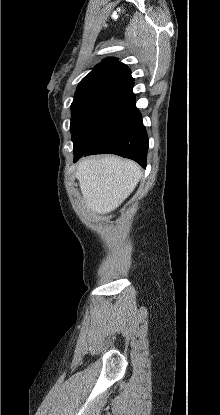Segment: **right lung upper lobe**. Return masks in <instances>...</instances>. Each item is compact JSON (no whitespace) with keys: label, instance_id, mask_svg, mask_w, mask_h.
<instances>
[{"label":"right lung upper lobe","instance_id":"1","mask_svg":"<svg viewBox=\"0 0 220 415\" xmlns=\"http://www.w3.org/2000/svg\"><path fill=\"white\" fill-rule=\"evenodd\" d=\"M102 79H114L132 86L134 85L130 69L115 58L103 60L81 80L80 84Z\"/></svg>","mask_w":220,"mask_h":415}]
</instances>
